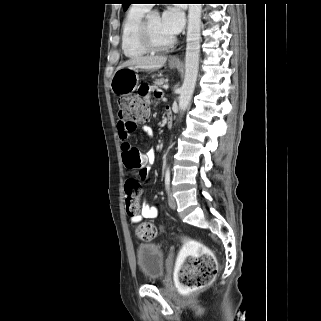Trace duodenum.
Returning a JSON list of instances; mask_svg holds the SVG:
<instances>
[{
    "mask_svg": "<svg viewBox=\"0 0 321 321\" xmlns=\"http://www.w3.org/2000/svg\"><path fill=\"white\" fill-rule=\"evenodd\" d=\"M172 122H173V117L170 111L167 112L166 114V125L167 127H171L172 126Z\"/></svg>",
    "mask_w": 321,
    "mask_h": 321,
    "instance_id": "1",
    "label": "duodenum"
}]
</instances>
